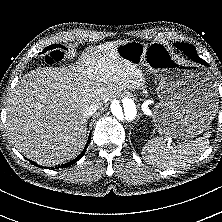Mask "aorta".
<instances>
[{
	"mask_svg": "<svg viewBox=\"0 0 222 222\" xmlns=\"http://www.w3.org/2000/svg\"><path fill=\"white\" fill-rule=\"evenodd\" d=\"M110 110L114 119L120 123L133 121L138 115L136 101L131 96H125L121 101H113Z\"/></svg>",
	"mask_w": 222,
	"mask_h": 222,
	"instance_id": "1",
	"label": "aorta"
}]
</instances>
